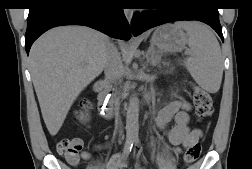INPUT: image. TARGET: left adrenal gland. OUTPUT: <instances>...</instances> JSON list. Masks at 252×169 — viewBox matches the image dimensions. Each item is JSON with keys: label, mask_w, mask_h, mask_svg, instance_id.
<instances>
[{"label": "left adrenal gland", "mask_w": 252, "mask_h": 169, "mask_svg": "<svg viewBox=\"0 0 252 169\" xmlns=\"http://www.w3.org/2000/svg\"><path fill=\"white\" fill-rule=\"evenodd\" d=\"M161 57L162 54L159 53V51H156L153 43H151L148 50L146 51L147 63H150L152 66L159 65L161 62Z\"/></svg>", "instance_id": "obj_1"}]
</instances>
